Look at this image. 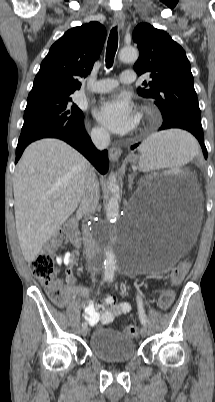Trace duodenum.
<instances>
[{
    "label": "duodenum",
    "instance_id": "410a0bca",
    "mask_svg": "<svg viewBox=\"0 0 215 402\" xmlns=\"http://www.w3.org/2000/svg\"><path fill=\"white\" fill-rule=\"evenodd\" d=\"M64 231L68 239L76 246H81L83 243L82 236L78 230L77 220L72 217L68 219L64 225Z\"/></svg>",
    "mask_w": 215,
    "mask_h": 402
}]
</instances>
